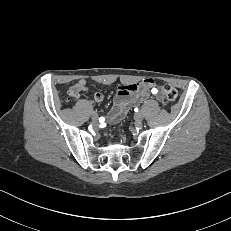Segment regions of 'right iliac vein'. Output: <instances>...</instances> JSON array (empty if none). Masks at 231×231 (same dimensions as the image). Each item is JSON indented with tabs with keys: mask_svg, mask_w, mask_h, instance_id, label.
I'll use <instances>...</instances> for the list:
<instances>
[{
	"mask_svg": "<svg viewBox=\"0 0 231 231\" xmlns=\"http://www.w3.org/2000/svg\"><path fill=\"white\" fill-rule=\"evenodd\" d=\"M91 119L94 123H96L98 121V114L96 112H92Z\"/></svg>",
	"mask_w": 231,
	"mask_h": 231,
	"instance_id": "obj_1",
	"label": "right iliac vein"
}]
</instances>
